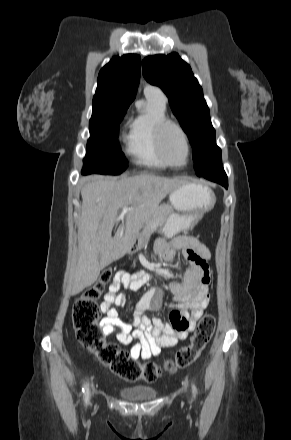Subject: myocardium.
<instances>
[{"label":"myocardium","mask_w":291,"mask_h":440,"mask_svg":"<svg viewBox=\"0 0 291 440\" xmlns=\"http://www.w3.org/2000/svg\"><path fill=\"white\" fill-rule=\"evenodd\" d=\"M169 128H174L175 130H177L184 140V144H185V148H186V160L183 164H174L166 156V153L164 150V137H165L166 131ZM154 137H155L158 155L160 156L162 161L167 166L175 167V168H184L189 163L190 156H191V146H190L188 135L180 124H178L175 121L165 119L156 125V127L154 129Z\"/></svg>","instance_id":"myocardium-1"}]
</instances>
